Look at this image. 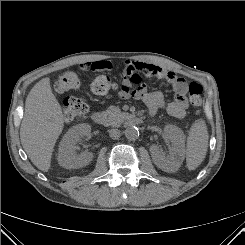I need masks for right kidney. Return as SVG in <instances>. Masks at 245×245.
<instances>
[{"instance_id": "ca27d5eb", "label": "right kidney", "mask_w": 245, "mask_h": 245, "mask_svg": "<svg viewBox=\"0 0 245 245\" xmlns=\"http://www.w3.org/2000/svg\"><path fill=\"white\" fill-rule=\"evenodd\" d=\"M91 132V126L87 123L78 124L70 128L64 135L59 145L58 163L66 169L81 168L88 165L93 159V154L83 152L76 154V144Z\"/></svg>"}]
</instances>
